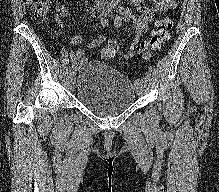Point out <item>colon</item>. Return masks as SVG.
Masks as SVG:
<instances>
[{
  "instance_id": "colon-1",
  "label": "colon",
  "mask_w": 219,
  "mask_h": 192,
  "mask_svg": "<svg viewBox=\"0 0 219 192\" xmlns=\"http://www.w3.org/2000/svg\"><path fill=\"white\" fill-rule=\"evenodd\" d=\"M31 9L36 19H44L50 11L49 0H32ZM173 26V21L169 17H164L158 21L152 30L150 36L142 42H134L130 45L128 51L124 54L119 52L115 41H109L102 49V56L105 58L120 57L123 61L137 55H147L151 51L158 49L169 37V32Z\"/></svg>"
}]
</instances>
